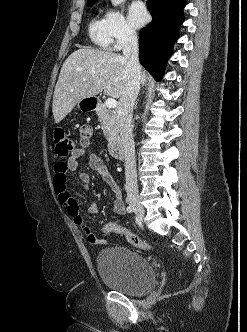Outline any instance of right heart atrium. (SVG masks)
Instances as JSON below:
<instances>
[{
	"instance_id": "obj_1",
	"label": "right heart atrium",
	"mask_w": 247,
	"mask_h": 332,
	"mask_svg": "<svg viewBox=\"0 0 247 332\" xmlns=\"http://www.w3.org/2000/svg\"><path fill=\"white\" fill-rule=\"evenodd\" d=\"M108 29L116 49H120L136 39V31L126 20L123 13L110 9L106 13Z\"/></svg>"
}]
</instances>
